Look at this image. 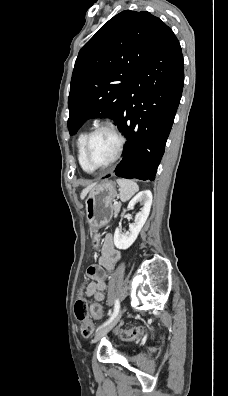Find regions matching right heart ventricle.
I'll return each instance as SVG.
<instances>
[{
    "label": "right heart ventricle",
    "instance_id": "obj_1",
    "mask_svg": "<svg viewBox=\"0 0 228 396\" xmlns=\"http://www.w3.org/2000/svg\"><path fill=\"white\" fill-rule=\"evenodd\" d=\"M88 132L84 131L81 132L76 140V153H77V159L78 162L81 166V168L85 171V172H92V170L86 165L85 161H84V157H83V146H84V142L85 139L87 137Z\"/></svg>",
    "mask_w": 228,
    "mask_h": 396
}]
</instances>
